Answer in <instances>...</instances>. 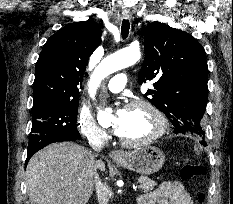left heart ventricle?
Here are the masks:
<instances>
[{
  "instance_id": "left-heart-ventricle-1",
  "label": "left heart ventricle",
  "mask_w": 233,
  "mask_h": 204,
  "mask_svg": "<svg viewBox=\"0 0 233 204\" xmlns=\"http://www.w3.org/2000/svg\"><path fill=\"white\" fill-rule=\"evenodd\" d=\"M157 121L146 108L126 109L125 120L119 136L127 140H141L152 135Z\"/></svg>"
}]
</instances>
